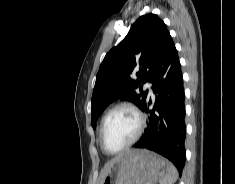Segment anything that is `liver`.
<instances>
[{"instance_id":"obj_1","label":"liver","mask_w":235,"mask_h":184,"mask_svg":"<svg viewBox=\"0 0 235 184\" xmlns=\"http://www.w3.org/2000/svg\"><path fill=\"white\" fill-rule=\"evenodd\" d=\"M121 156H125V154H120V156H116V158H113V160H111V162H108V164H105L103 170H101L100 184H102V180H104L109 168H111L112 164H114V162H117V160H119V158H121Z\"/></svg>"}]
</instances>
